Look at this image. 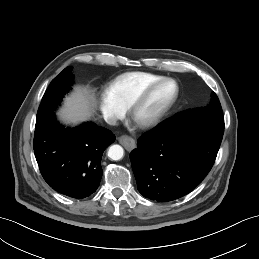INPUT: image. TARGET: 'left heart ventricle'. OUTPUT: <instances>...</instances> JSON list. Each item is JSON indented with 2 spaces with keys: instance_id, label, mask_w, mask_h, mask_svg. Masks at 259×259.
Here are the masks:
<instances>
[{
  "instance_id": "1",
  "label": "left heart ventricle",
  "mask_w": 259,
  "mask_h": 259,
  "mask_svg": "<svg viewBox=\"0 0 259 259\" xmlns=\"http://www.w3.org/2000/svg\"><path fill=\"white\" fill-rule=\"evenodd\" d=\"M174 93L175 85L173 83H165L158 87L139 108L136 114V120L144 121L151 118L173 97Z\"/></svg>"
}]
</instances>
